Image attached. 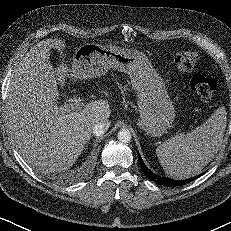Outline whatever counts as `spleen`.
<instances>
[{"label":"spleen","instance_id":"obj_1","mask_svg":"<svg viewBox=\"0 0 231 231\" xmlns=\"http://www.w3.org/2000/svg\"><path fill=\"white\" fill-rule=\"evenodd\" d=\"M226 124L227 112L221 106L202 125L159 145L156 154L165 173L173 179L200 174L222 145Z\"/></svg>","mask_w":231,"mask_h":231}]
</instances>
